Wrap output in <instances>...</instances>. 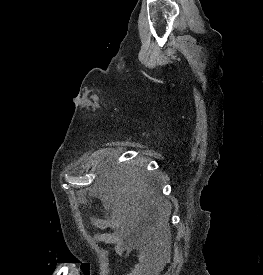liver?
<instances>
[{
	"label": "liver",
	"mask_w": 263,
	"mask_h": 275,
	"mask_svg": "<svg viewBox=\"0 0 263 275\" xmlns=\"http://www.w3.org/2000/svg\"><path fill=\"white\" fill-rule=\"evenodd\" d=\"M137 192V196L140 198L142 194L141 190L135 187L125 185L124 187L118 188L115 195H103V200L106 206H112L115 211H121L123 214V220L129 218L130 220L139 221L142 219L144 214L142 213V207L134 199L132 193ZM99 193L102 190L99 188ZM156 205L162 218L168 219L171 212V206L168 202H152Z\"/></svg>",
	"instance_id": "liver-1"
}]
</instances>
